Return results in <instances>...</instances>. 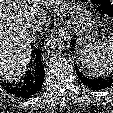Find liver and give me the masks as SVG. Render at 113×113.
Wrapping results in <instances>:
<instances>
[{
	"mask_svg": "<svg viewBox=\"0 0 113 113\" xmlns=\"http://www.w3.org/2000/svg\"><path fill=\"white\" fill-rule=\"evenodd\" d=\"M43 3L42 0H0V77L5 80L17 82L26 71L34 38L30 25L41 16L38 7ZM69 6L64 3L61 8L68 10Z\"/></svg>",
	"mask_w": 113,
	"mask_h": 113,
	"instance_id": "1",
	"label": "liver"
}]
</instances>
